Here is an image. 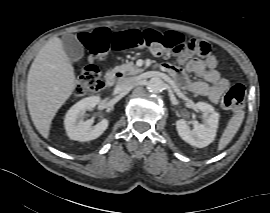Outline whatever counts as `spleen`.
Masks as SVG:
<instances>
[{
	"instance_id": "3e777b00",
	"label": "spleen",
	"mask_w": 270,
	"mask_h": 213,
	"mask_svg": "<svg viewBox=\"0 0 270 213\" xmlns=\"http://www.w3.org/2000/svg\"><path fill=\"white\" fill-rule=\"evenodd\" d=\"M244 119V112L237 113L229 120L218 145V150L224 149L239 130Z\"/></svg>"
}]
</instances>
